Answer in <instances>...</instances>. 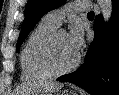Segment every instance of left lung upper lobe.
Here are the masks:
<instances>
[{
	"label": "left lung upper lobe",
	"instance_id": "obj_1",
	"mask_svg": "<svg viewBox=\"0 0 119 95\" xmlns=\"http://www.w3.org/2000/svg\"><path fill=\"white\" fill-rule=\"evenodd\" d=\"M64 2L65 0H28L25 8V19L17 42V51L38 21L47 12L60 7Z\"/></svg>",
	"mask_w": 119,
	"mask_h": 95
}]
</instances>
